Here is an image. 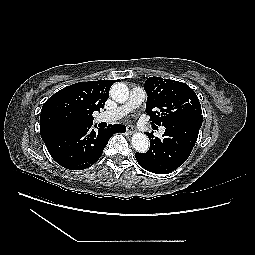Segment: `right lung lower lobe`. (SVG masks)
I'll use <instances>...</instances> for the list:
<instances>
[{
    "instance_id": "right-lung-lower-lobe-1",
    "label": "right lung lower lobe",
    "mask_w": 255,
    "mask_h": 255,
    "mask_svg": "<svg viewBox=\"0 0 255 255\" xmlns=\"http://www.w3.org/2000/svg\"><path fill=\"white\" fill-rule=\"evenodd\" d=\"M91 126L81 125L55 131L44 141L51 157L66 169H86L98 161L114 133L126 130L124 125L114 124L95 132Z\"/></svg>"
}]
</instances>
